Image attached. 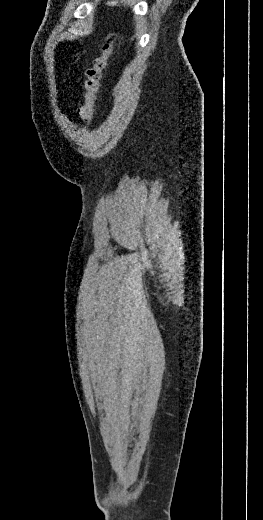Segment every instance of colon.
<instances>
[{
  "instance_id": "obj_1",
  "label": "colon",
  "mask_w": 263,
  "mask_h": 520,
  "mask_svg": "<svg viewBox=\"0 0 263 520\" xmlns=\"http://www.w3.org/2000/svg\"><path fill=\"white\" fill-rule=\"evenodd\" d=\"M120 40L117 32H110L100 48V54L92 59L87 68L84 80V101L78 109L80 119L89 123L95 111V103L101 87L103 73L108 67L110 58L114 55L115 47Z\"/></svg>"
}]
</instances>
